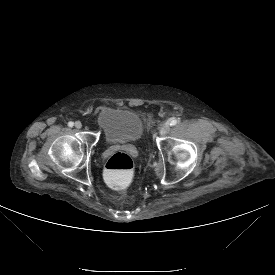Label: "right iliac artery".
<instances>
[{
    "label": "right iliac artery",
    "mask_w": 275,
    "mask_h": 275,
    "mask_svg": "<svg viewBox=\"0 0 275 275\" xmlns=\"http://www.w3.org/2000/svg\"><path fill=\"white\" fill-rule=\"evenodd\" d=\"M73 125H74V123H73V122H71V121H70V122H68V126H69V127H73Z\"/></svg>",
    "instance_id": "obj_1"
}]
</instances>
